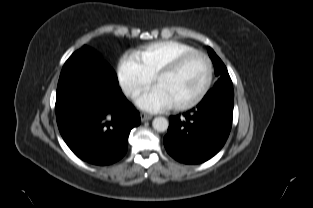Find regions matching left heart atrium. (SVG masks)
<instances>
[{
	"mask_svg": "<svg viewBox=\"0 0 313 208\" xmlns=\"http://www.w3.org/2000/svg\"><path fill=\"white\" fill-rule=\"evenodd\" d=\"M135 103L148 112H160L173 106L170 98L158 85L139 92L135 96Z\"/></svg>",
	"mask_w": 313,
	"mask_h": 208,
	"instance_id": "39dd6f15",
	"label": "left heart atrium"
}]
</instances>
